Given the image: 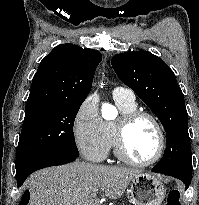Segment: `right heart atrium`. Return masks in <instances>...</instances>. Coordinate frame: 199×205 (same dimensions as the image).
<instances>
[{"label": "right heart atrium", "mask_w": 199, "mask_h": 205, "mask_svg": "<svg viewBox=\"0 0 199 205\" xmlns=\"http://www.w3.org/2000/svg\"><path fill=\"white\" fill-rule=\"evenodd\" d=\"M72 131L78 151L87 160L101 162L106 158L109 151L108 137L94 97H87L79 106Z\"/></svg>", "instance_id": "d8ad5b80"}]
</instances>
